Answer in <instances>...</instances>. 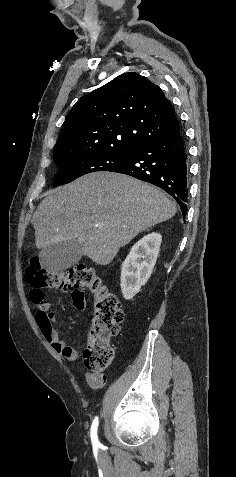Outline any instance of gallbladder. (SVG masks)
I'll list each match as a JSON object with an SVG mask.
<instances>
[{"label":"gallbladder","instance_id":"gallbladder-1","mask_svg":"<svg viewBox=\"0 0 236 477\" xmlns=\"http://www.w3.org/2000/svg\"><path fill=\"white\" fill-rule=\"evenodd\" d=\"M82 255L81 244L76 239H72L58 242L42 249L40 262L47 270L59 272L76 264Z\"/></svg>","mask_w":236,"mask_h":477}]
</instances>
